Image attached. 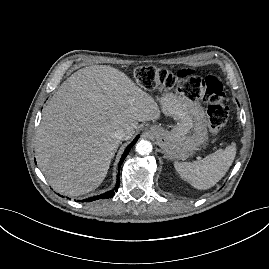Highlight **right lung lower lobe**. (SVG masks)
Returning a JSON list of instances; mask_svg holds the SVG:
<instances>
[{
    "mask_svg": "<svg viewBox=\"0 0 269 269\" xmlns=\"http://www.w3.org/2000/svg\"><path fill=\"white\" fill-rule=\"evenodd\" d=\"M139 136H137L133 142L126 148L125 152L123 153L122 157H121V160L119 162V169L118 171L120 170V166L121 164L123 163L124 159L126 158V156L128 155L131 147L136 143V141L138 140ZM119 183H120V179H119V175L117 176V183H116V186L114 188V190H111L109 192H106L104 194H101L99 196H94V197H91V198H88L86 201L87 202H91V201H94V200H98V199H104V198H110L112 196H114L115 192H117L118 190V187H119Z\"/></svg>",
    "mask_w": 269,
    "mask_h": 269,
    "instance_id": "right-lung-lower-lobe-1",
    "label": "right lung lower lobe"
}]
</instances>
